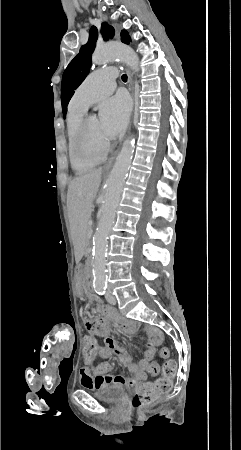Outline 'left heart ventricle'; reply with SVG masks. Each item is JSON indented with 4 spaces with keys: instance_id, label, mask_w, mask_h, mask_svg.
<instances>
[{
    "instance_id": "b2bd125f",
    "label": "left heart ventricle",
    "mask_w": 241,
    "mask_h": 450,
    "mask_svg": "<svg viewBox=\"0 0 241 450\" xmlns=\"http://www.w3.org/2000/svg\"><path fill=\"white\" fill-rule=\"evenodd\" d=\"M84 139L86 143L81 145L82 152H91L92 149H96L103 155L109 150L110 136L107 126L103 122L90 121L87 132L84 134ZM84 162L89 164L91 159L86 157Z\"/></svg>"
}]
</instances>
